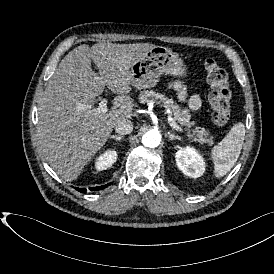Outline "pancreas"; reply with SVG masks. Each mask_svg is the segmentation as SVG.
<instances>
[{"mask_svg":"<svg viewBox=\"0 0 274 274\" xmlns=\"http://www.w3.org/2000/svg\"><path fill=\"white\" fill-rule=\"evenodd\" d=\"M140 101L142 104H154L166 110H171L174 119L185 127L191 126L190 122L191 113L188 109L182 108L173 99L165 96L163 93L156 92L155 90H147L140 94ZM208 133L205 128L196 127L192 134L189 135L193 141L199 144H212V139L207 137Z\"/></svg>","mask_w":274,"mask_h":274,"instance_id":"cf45deb5","label":"pancreas"}]
</instances>
